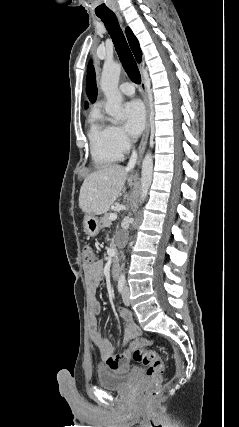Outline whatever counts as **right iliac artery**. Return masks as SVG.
<instances>
[{"mask_svg":"<svg viewBox=\"0 0 239 427\" xmlns=\"http://www.w3.org/2000/svg\"><path fill=\"white\" fill-rule=\"evenodd\" d=\"M124 286H125V277L121 276L118 280V291L120 294L123 293Z\"/></svg>","mask_w":239,"mask_h":427,"instance_id":"obj_1","label":"right iliac artery"}]
</instances>
